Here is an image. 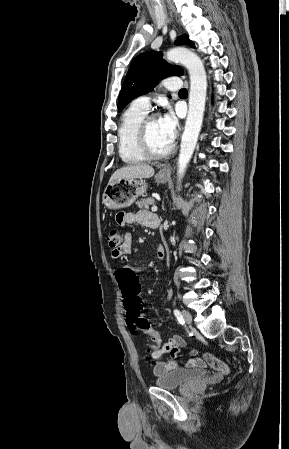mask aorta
Masks as SVG:
<instances>
[{
	"label": "aorta",
	"instance_id": "762f6f07",
	"mask_svg": "<svg viewBox=\"0 0 289 449\" xmlns=\"http://www.w3.org/2000/svg\"><path fill=\"white\" fill-rule=\"evenodd\" d=\"M166 57L169 61L184 65L190 75L189 111L178 158L180 181L193 155L201 130L206 102L207 77L201 59L186 48H173L167 52Z\"/></svg>",
	"mask_w": 289,
	"mask_h": 449
}]
</instances>
